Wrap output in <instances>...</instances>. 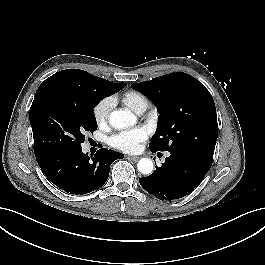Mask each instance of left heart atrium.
<instances>
[{
    "mask_svg": "<svg viewBox=\"0 0 265 265\" xmlns=\"http://www.w3.org/2000/svg\"><path fill=\"white\" fill-rule=\"evenodd\" d=\"M148 134L144 128L138 127L121 131L109 139V144L124 152H136L141 148V143L146 140Z\"/></svg>",
    "mask_w": 265,
    "mask_h": 265,
    "instance_id": "1",
    "label": "left heart atrium"
}]
</instances>
